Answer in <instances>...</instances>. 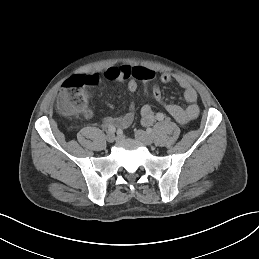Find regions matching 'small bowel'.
<instances>
[{
  "mask_svg": "<svg viewBox=\"0 0 259 259\" xmlns=\"http://www.w3.org/2000/svg\"><path fill=\"white\" fill-rule=\"evenodd\" d=\"M107 79L112 81H126L127 89L131 92H135L138 87V82H149L154 78V72L148 68L142 66H110L105 71ZM88 80V86L94 87L99 83V75L92 74L86 76ZM172 79V75L169 73H163L160 76L162 83H168ZM179 86L183 89V97L188 103L186 107H181L172 103H165L162 101L161 94L156 96V100L162 105L163 109L173 117L178 123L185 125L190 121L196 119L199 116L200 108L196 104L197 93L190 86V84L181 77H176ZM92 110H87L86 115L90 116ZM134 119V107L130 106V109L119 117H107L103 121L104 126H116L118 128H127ZM154 113L150 106L145 105L141 108V122L144 125H150L153 122Z\"/></svg>",
  "mask_w": 259,
  "mask_h": 259,
  "instance_id": "small-bowel-1",
  "label": "small bowel"
}]
</instances>
